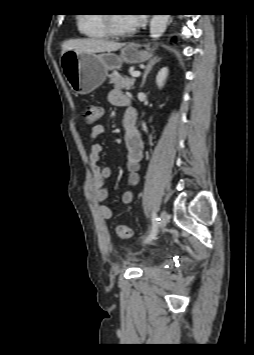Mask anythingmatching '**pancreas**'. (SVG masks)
<instances>
[{"instance_id": "1", "label": "pancreas", "mask_w": 254, "mask_h": 355, "mask_svg": "<svg viewBox=\"0 0 254 355\" xmlns=\"http://www.w3.org/2000/svg\"><path fill=\"white\" fill-rule=\"evenodd\" d=\"M135 79H128L122 77L119 73H112L110 75V84H113L115 88L131 90L134 87Z\"/></svg>"}]
</instances>
